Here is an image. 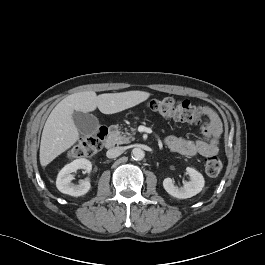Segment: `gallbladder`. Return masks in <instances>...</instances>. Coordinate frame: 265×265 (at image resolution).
Instances as JSON below:
<instances>
[{
  "instance_id": "bac80fb5",
  "label": "gallbladder",
  "mask_w": 265,
  "mask_h": 265,
  "mask_svg": "<svg viewBox=\"0 0 265 265\" xmlns=\"http://www.w3.org/2000/svg\"><path fill=\"white\" fill-rule=\"evenodd\" d=\"M72 118L76 128L82 135L91 136L98 131L99 120L93 114L74 111Z\"/></svg>"
}]
</instances>
